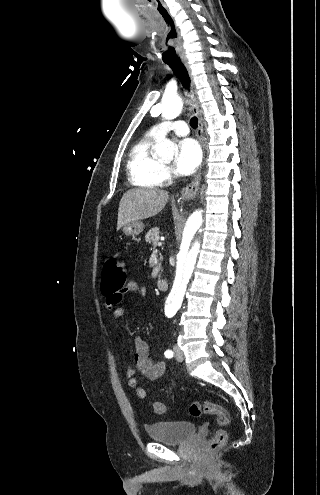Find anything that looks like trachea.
<instances>
[{"instance_id":"trachea-1","label":"trachea","mask_w":320,"mask_h":495,"mask_svg":"<svg viewBox=\"0 0 320 495\" xmlns=\"http://www.w3.org/2000/svg\"><path fill=\"white\" fill-rule=\"evenodd\" d=\"M167 64H169L171 66V68L173 69L174 73L177 75V77L181 81L184 88L188 89L189 85H190V78H189L188 72H187L184 64L180 60L168 61ZM190 125L194 129L197 128V126H198L197 117L191 118Z\"/></svg>"}]
</instances>
